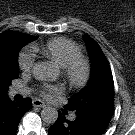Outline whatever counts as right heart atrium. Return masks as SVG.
<instances>
[{
	"instance_id": "d8ad5b80",
	"label": "right heart atrium",
	"mask_w": 135,
	"mask_h": 135,
	"mask_svg": "<svg viewBox=\"0 0 135 135\" xmlns=\"http://www.w3.org/2000/svg\"><path fill=\"white\" fill-rule=\"evenodd\" d=\"M35 61V56L31 50H23L18 54L17 63L23 72H30Z\"/></svg>"
}]
</instances>
